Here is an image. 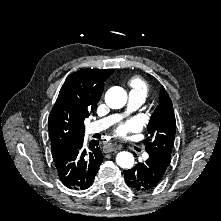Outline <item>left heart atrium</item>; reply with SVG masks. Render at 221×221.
Listing matches in <instances>:
<instances>
[{
  "mask_svg": "<svg viewBox=\"0 0 221 221\" xmlns=\"http://www.w3.org/2000/svg\"><path fill=\"white\" fill-rule=\"evenodd\" d=\"M140 126L137 120L130 119L115 127L114 133L118 138H126L128 134L137 132Z\"/></svg>",
  "mask_w": 221,
  "mask_h": 221,
  "instance_id": "obj_1",
  "label": "left heart atrium"
}]
</instances>
